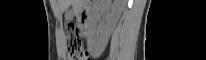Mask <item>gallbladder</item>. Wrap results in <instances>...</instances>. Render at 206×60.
I'll return each mask as SVG.
<instances>
[{"mask_svg": "<svg viewBox=\"0 0 206 60\" xmlns=\"http://www.w3.org/2000/svg\"><path fill=\"white\" fill-rule=\"evenodd\" d=\"M74 15H75L74 10L73 9H69L65 13V18H66V20L70 21V20L73 19Z\"/></svg>", "mask_w": 206, "mask_h": 60, "instance_id": "1", "label": "gallbladder"}]
</instances>
